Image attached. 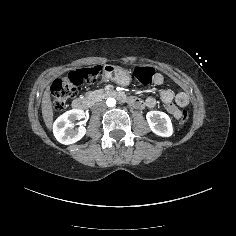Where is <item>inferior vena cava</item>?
I'll list each match as a JSON object with an SVG mask.
<instances>
[{
    "instance_id": "inferior-vena-cava-1",
    "label": "inferior vena cava",
    "mask_w": 236,
    "mask_h": 236,
    "mask_svg": "<svg viewBox=\"0 0 236 236\" xmlns=\"http://www.w3.org/2000/svg\"><path fill=\"white\" fill-rule=\"evenodd\" d=\"M92 110L96 113H101L105 110V103L103 102H99V103H96L93 107H92Z\"/></svg>"
}]
</instances>
